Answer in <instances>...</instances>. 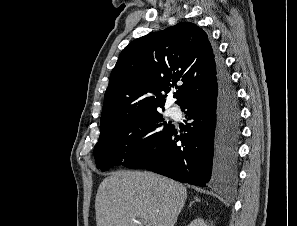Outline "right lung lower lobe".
<instances>
[{"label": "right lung lower lobe", "instance_id": "obj_1", "mask_svg": "<svg viewBox=\"0 0 297 226\" xmlns=\"http://www.w3.org/2000/svg\"><path fill=\"white\" fill-rule=\"evenodd\" d=\"M181 108L187 109V119L193 120L185 128L187 133L180 134L174 127L153 150L126 167L144 168L202 187L233 182L237 176L240 108L221 59H217V79L212 87L190 96Z\"/></svg>", "mask_w": 297, "mask_h": 226}]
</instances>
